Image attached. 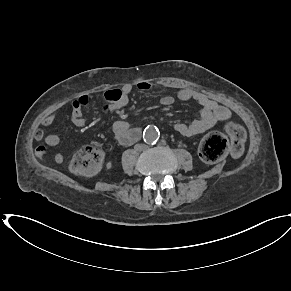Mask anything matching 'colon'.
Instances as JSON below:
<instances>
[{
	"label": "colon",
	"mask_w": 291,
	"mask_h": 291,
	"mask_svg": "<svg viewBox=\"0 0 291 291\" xmlns=\"http://www.w3.org/2000/svg\"><path fill=\"white\" fill-rule=\"evenodd\" d=\"M226 131L235 146L242 144L245 132L244 129L235 122L226 124ZM229 140L219 132L208 134L201 142L199 153L201 158L208 163L220 161L227 153ZM103 154L97 146H85L79 149L69 160V170L77 175L88 176L95 173L101 163Z\"/></svg>",
	"instance_id": "1"
}]
</instances>
